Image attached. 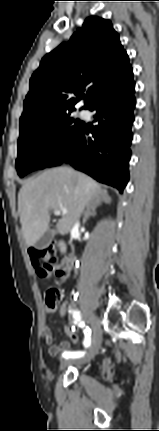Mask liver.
Here are the masks:
<instances>
[{"mask_svg": "<svg viewBox=\"0 0 159 431\" xmlns=\"http://www.w3.org/2000/svg\"><path fill=\"white\" fill-rule=\"evenodd\" d=\"M102 193L106 192L95 180L69 167L53 168L26 181L18 194V212L27 246L49 229L50 210H67L56 224L57 231L66 235Z\"/></svg>", "mask_w": 159, "mask_h": 431, "instance_id": "liver-1", "label": "liver"}]
</instances>
